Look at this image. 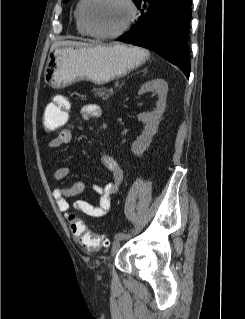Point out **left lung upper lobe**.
<instances>
[{
	"label": "left lung upper lobe",
	"mask_w": 245,
	"mask_h": 319,
	"mask_svg": "<svg viewBox=\"0 0 245 319\" xmlns=\"http://www.w3.org/2000/svg\"><path fill=\"white\" fill-rule=\"evenodd\" d=\"M67 1H69V0H64V3H66ZM136 1H137V0H133L134 3H136Z\"/></svg>",
	"instance_id": "left-lung-upper-lobe-1"
}]
</instances>
